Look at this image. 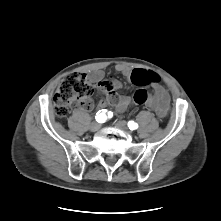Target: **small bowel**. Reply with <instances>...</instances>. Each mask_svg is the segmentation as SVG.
<instances>
[{
  "mask_svg": "<svg viewBox=\"0 0 221 221\" xmlns=\"http://www.w3.org/2000/svg\"><path fill=\"white\" fill-rule=\"evenodd\" d=\"M116 69L118 72L130 78L132 72L135 70L124 65H118ZM138 70L148 72L144 69ZM88 80L91 85L106 93V96L99 102V108L103 109L108 106H114L117 111L123 112L131 104L130 97L121 96L115 92L116 89L121 87V83L116 79L104 80V72L102 70L92 71L88 76ZM147 85L152 86V94L145 103L146 106L153 110L159 118L166 117L170 107V96L168 91L157 83H150L147 80L142 83V86Z\"/></svg>",
  "mask_w": 221,
  "mask_h": 221,
  "instance_id": "obj_1",
  "label": "small bowel"
}]
</instances>
